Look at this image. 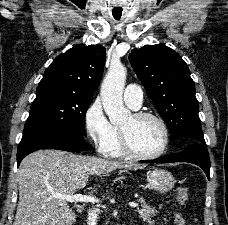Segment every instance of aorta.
<instances>
[{"instance_id": "aorta-1", "label": "aorta", "mask_w": 228, "mask_h": 225, "mask_svg": "<svg viewBox=\"0 0 228 225\" xmlns=\"http://www.w3.org/2000/svg\"><path fill=\"white\" fill-rule=\"evenodd\" d=\"M127 68L118 62H111L101 86V100L111 125H124L131 113L125 108L122 94Z\"/></svg>"}]
</instances>
